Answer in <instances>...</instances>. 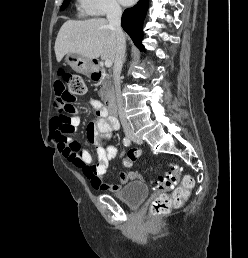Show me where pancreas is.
I'll return each instance as SVG.
<instances>
[{"label": "pancreas", "mask_w": 248, "mask_h": 258, "mask_svg": "<svg viewBox=\"0 0 248 258\" xmlns=\"http://www.w3.org/2000/svg\"><path fill=\"white\" fill-rule=\"evenodd\" d=\"M99 84L102 86L100 90V96L102 101H106L110 92L112 91V81L111 76L103 73Z\"/></svg>", "instance_id": "pancreas-1"}]
</instances>
